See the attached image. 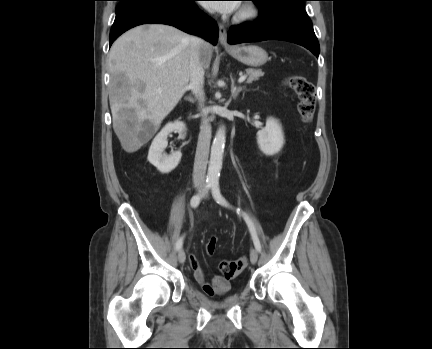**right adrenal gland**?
I'll use <instances>...</instances> for the list:
<instances>
[{
  "label": "right adrenal gland",
  "instance_id": "2a0ac1e0",
  "mask_svg": "<svg viewBox=\"0 0 432 349\" xmlns=\"http://www.w3.org/2000/svg\"><path fill=\"white\" fill-rule=\"evenodd\" d=\"M185 100H187V101H189V102H191V103H194L195 98H193V97H191V96H187V97H185Z\"/></svg>",
  "mask_w": 432,
  "mask_h": 349
}]
</instances>
